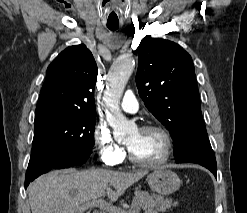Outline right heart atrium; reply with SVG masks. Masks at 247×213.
<instances>
[{
    "mask_svg": "<svg viewBox=\"0 0 247 213\" xmlns=\"http://www.w3.org/2000/svg\"><path fill=\"white\" fill-rule=\"evenodd\" d=\"M93 143L100 160L106 166H118L124 161V148L114 140L111 131L105 124L99 123L95 126Z\"/></svg>",
    "mask_w": 247,
    "mask_h": 213,
    "instance_id": "1",
    "label": "right heart atrium"
}]
</instances>
